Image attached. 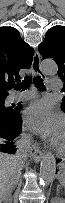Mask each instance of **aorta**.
Returning a JSON list of instances; mask_svg holds the SVG:
<instances>
[{"mask_svg":"<svg viewBox=\"0 0 65 203\" xmlns=\"http://www.w3.org/2000/svg\"><path fill=\"white\" fill-rule=\"evenodd\" d=\"M40 69L44 74L53 75L57 73L58 66L55 61L47 59L43 60L40 65ZM56 173V160L51 153H47L43 156L40 163L39 180L40 184L44 187L49 186Z\"/></svg>","mask_w":65,"mask_h":203,"instance_id":"1","label":"aorta"}]
</instances>
